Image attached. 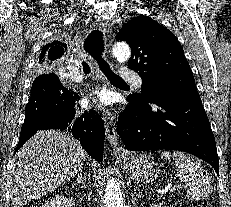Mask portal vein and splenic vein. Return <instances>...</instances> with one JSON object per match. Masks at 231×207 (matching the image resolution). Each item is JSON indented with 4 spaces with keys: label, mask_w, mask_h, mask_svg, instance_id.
<instances>
[{
    "label": "portal vein and splenic vein",
    "mask_w": 231,
    "mask_h": 207,
    "mask_svg": "<svg viewBox=\"0 0 231 207\" xmlns=\"http://www.w3.org/2000/svg\"><path fill=\"white\" fill-rule=\"evenodd\" d=\"M166 191H169V192H174L176 190V187L175 186H172V185H168L166 188H165Z\"/></svg>",
    "instance_id": "18ae733b"
}]
</instances>
